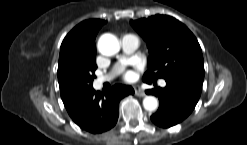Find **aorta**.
Returning a JSON list of instances; mask_svg holds the SVG:
<instances>
[{"instance_id":"762f6f07","label":"aorta","mask_w":247,"mask_h":145,"mask_svg":"<svg viewBox=\"0 0 247 145\" xmlns=\"http://www.w3.org/2000/svg\"><path fill=\"white\" fill-rule=\"evenodd\" d=\"M98 50L102 55L113 56L120 50L118 39L112 34H103L98 41ZM144 109L154 111L158 108V100L154 96H146L143 99Z\"/></svg>"}]
</instances>
